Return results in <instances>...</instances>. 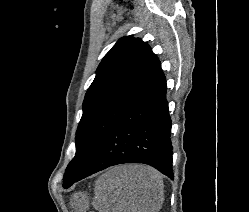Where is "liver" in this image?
I'll return each instance as SVG.
<instances>
[{"mask_svg": "<svg viewBox=\"0 0 249 212\" xmlns=\"http://www.w3.org/2000/svg\"><path fill=\"white\" fill-rule=\"evenodd\" d=\"M161 174L144 164L113 166L95 184L93 206L98 212H160Z\"/></svg>", "mask_w": 249, "mask_h": 212, "instance_id": "obj_1", "label": "liver"}]
</instances>
